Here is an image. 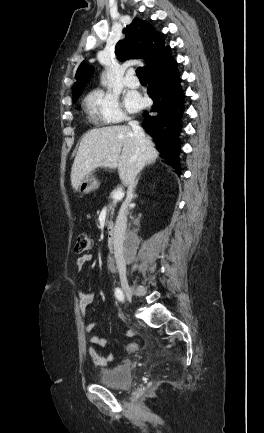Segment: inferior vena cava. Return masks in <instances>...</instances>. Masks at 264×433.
Masks as SVG:
<instances>
[{
  "instance_id": "602c4592",
  "label": "inferior vena cava",
  "mask_w": 264,
  "mask_h": 433,
  "mask_svg": "<svg viewBox=\"0 0 264 433\" xmlns=\"http://www.w3.org/2000/svg\"><path fill=\"white\" fill-rule=\"evenodd\" d=\"M129 125L132 128V131H133V134L135 137V141H136L137 162H136L135 171H134V173H133V175H132V177L128 183L126 200L122 205L121 212L118 216V221H117V226L119 229L117 230V236H116L115 257H116L117 269H118L120 278H126V262L123 260V259H125L123 245H124V242H126V237L128 236V232L126 230V228H127L126 222H127V218H128V214H129V205H130L132 198H133V191L135 188V179H136V176L139 173V171L145 165L144 152L146 149L145 134H144L142 127H140V125L137 121H130Z\"/></svg>"
}]
</instances>
